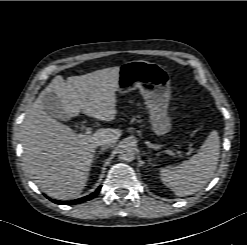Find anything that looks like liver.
Listing matches in <instances>:
<instances>
[{
	"instance_id": "6515ba94",
	"label": "liver",
	"mask_w": 247,
	"mask_h": 245,
	"mask_svg": "<svg viewBox=\"0 0 247 245\" xmlns=\"http://www.w3.org/2000/svg\"><path fill=\"white\" fill-rule=\"evenodd\" d=\"M119 67L71 76L54 77L39 94L21 124L23 164L31 179L48 196L59 200L77 197L88 181L95 149L101 141L110 147L120 138L119 129L101 128L93 135L73 130L43 108L42 99L53 92L68 118L80 111L98 120L110 122L117 114L116 91Z\"/></svg>"
}]
</instances>
